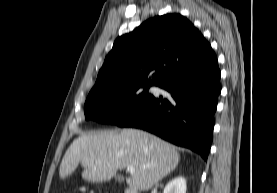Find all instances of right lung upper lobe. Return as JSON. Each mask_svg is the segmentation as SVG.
Listing matches in <instances>:
<instances>
[{"mask_svg": "<svg viewBox=\"0 0 277 193\" xmlns=\"http://www.w3.org/2000/svg\"><path fill=\"white\" fill-rule=\"evenodd\" d=\"M212 51L209 42L186 17L156 16L115 40L90 93L135 85L159 86ZM150 73L151 80L147 78Z\"/></svg>", "mask_w": 277, "mask_h": 193, "instance_id": "1", "label": "right lung upper lobe"}]
</instances>
